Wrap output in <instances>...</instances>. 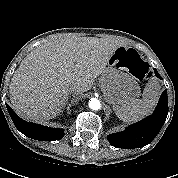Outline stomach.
<instances>
[{
    "instance_id": "stomach-1",
    "label": "stomach",
    "mask_w": 178,
    "mask_h": 178,
    "mask_svg": "<svg viewBox=\"0 0 178 178\" xmlns=\"http://www.w3.org/2000/svg\"><path fill=\"white\" fill-rule=\"evenodd\" d=\"M121 49L119 47L115 50L99 78V86L104 97L114 106L127 104L140 94L139 84L129 72V60ZM123 49L124 52L128 50Z\"/></svg>"
}]
</instances>
